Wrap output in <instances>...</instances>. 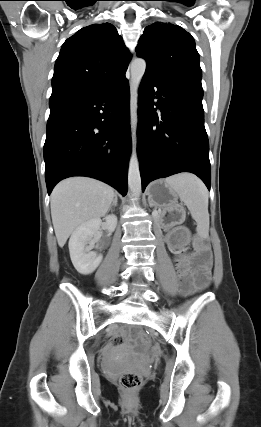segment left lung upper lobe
<instances>
[{
	"label": "left lung upper lobe",
	"instance_id": "obj_1",
	"mask_svg": "<svg viewBox=\"0 0 261 427\" xmlns=\"http://www.w3.org/2000/svg\"><path fill=\"white\" fill-rule=\"evenodd\" d=\"M136 52L147 62L145 75L202 88V70L194 39L180 26L161 22L147 26Z\"/></svg>",
	"mask_w": 261,
	"mask_h": 427
}]
</instances>
